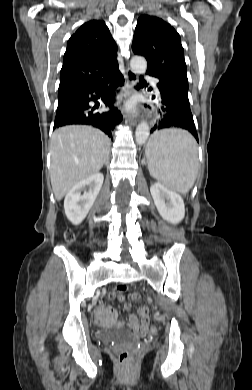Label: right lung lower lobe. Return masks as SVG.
Returning <instances> with one entry per match:
<instances>
[{
    "label": "right lung lower lobe",
    "instance_id": "98d812e1",
    "mask_svg": "<svg viewBox=\"0 0 252 390\" xmlns=\"http://www.w3.org/2000/svg\"><path fill=\"white\" fill-rule=\"evenodd\" d=\"M123 84L124 78L119 69H116L100 84L85 87L59 100L53 129L70 124H86L101 129L112 138L115 126L122 120L120 111L114 107L115 90ZM99 96L110 111L97 112L95 107L89 106V102L96 101Z\"/></svg>",
    "mask_w": 252,
    "mask_h": 390
}]
</instances>
